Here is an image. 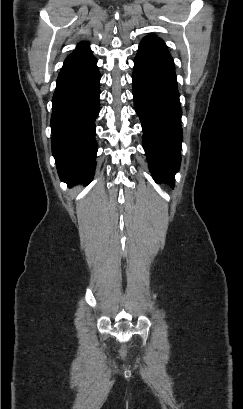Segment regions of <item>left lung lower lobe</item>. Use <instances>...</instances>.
<instances>
[{
    "mask_svg": "<svg viewBox=\"0 0 243 409\" xmlns=\"http://www.w3.org/2000/svg\"><path fill=\"white\" fill-rule=\"evenodd\" d=\"M132 79L152 177L173 187L181 161L182 110L174 61L163 40L140 43Z\"/></svg>",
    "mask_w": 243,
    "mask_h": 409,
    "instance_id": "left-lung-lower-lobe-1",
    "label": "left lung lower lobe"
}]
</instances>
